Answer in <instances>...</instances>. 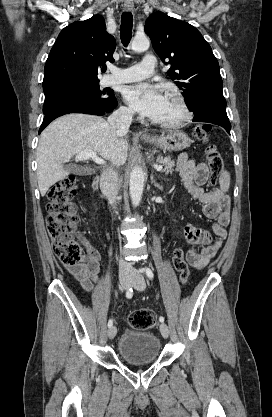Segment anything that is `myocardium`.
Here are the masks:
<instances>
[{
  "instance_id": "myocardium-1",
  "label": "myocardium",
  "mask_w": 272,
  "mask_h": 417,
  "mask_svg": "<svg viewBox=\"0 0 272 417\" xmlns=\"http://www.w3.org/2000/svg\"><path fill=\"white\" fill-rule=\"evenodd\" d=\"M180 107L182 115L179 119L169 122L155 121L154 123L164 129H178L185 126L192 119V111L186 98L178 91H171L167 95Z\"/></svg>"
}]
</instances>
